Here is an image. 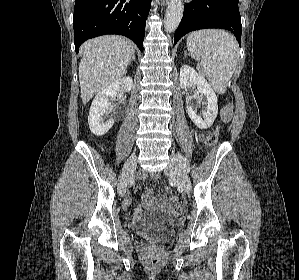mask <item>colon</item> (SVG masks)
<instances>
[{"instance_id":"colon-1","label":"colon","mask_w":299,"mask_h":280,"mask_svg":"<svg viewBox=\"0 0 299 280\" xmlns=\"http://www.w3.org/2000/svg\"><path fill=\"white\" fill-rule=\"evenodd\" d=\"M232 114V106L228 105L226 106L223 111H222V121L223 122H228L230 120ZM218 135H219V127H217L216 129H214L206 138H205V145L207 147H211L213 146L218 139ZM183 209L180 205H176L172 208V215L175 217H178L182 214Z\"/></svg>"}]
</instances>
